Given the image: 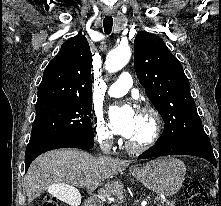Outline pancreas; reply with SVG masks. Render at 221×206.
<instances>
[{
  "label": "pancreas",
  "instance_id": "obj_1",
  "mask_svg": "<svg viewBox=\"0 0 221 206\" xmlns=\"http://www.w3.org/2000/svg\"><path fill=\"white\" fill-rule=\"evenodd\" d=\"M174 204V201L162 200L157 204V206H175Z\"/></svg>",
  "mask_w": 221,
  "mask_h": 206
}]
</instances>
